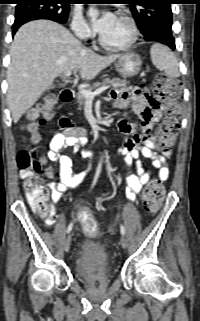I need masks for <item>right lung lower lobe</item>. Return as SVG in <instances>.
<instances>
[{"instance_id":"obj_1","label":"right lung lower lobe","mask_w":200,"mask_h":321,"mask_svg":"<svg viewBox=\"0 0 200 321\" xmlns=\"http://www.w3.org/2000/svg\"><path fill=\"white\" fill-rule=\"evenodd\" d=\"M37 19H49V20H53L55 22H58L55 18L47 15V14H24L21 16H18L15 18L14 24H13V32L12 34L14 35L16 33V31L18 30V28L23 25L26 22L32 21V20H37Z\"/></svg>"}]
</instances>
